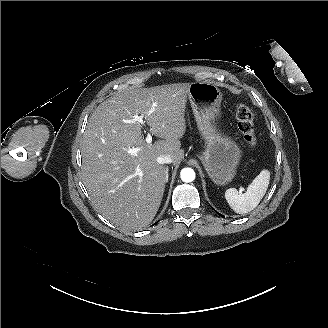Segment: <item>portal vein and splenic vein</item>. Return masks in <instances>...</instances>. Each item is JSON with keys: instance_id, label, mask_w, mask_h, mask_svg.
Wrapping results in <instances>:
<instances>
[{"instance_id": "1", "label": "portal vein and splenic vein", "mask_w": 328, "mask_h": 328, "mask_svg": "<svg viewBox=\"0 0 328 328\" xmlns=\"http://www.w3.org/2000/svg\"><path fill=\"white\" fill-rule=\"evenodd\" d=\"M134 122H139L141 124H144V122H143V116L134 115L133 116V119L129 120V123H134ZM145 140H146V143L147 144H151L152 143V136H151L150 133L147 134V137H146ZM139 150L140 149L138 147H134V148L129 149L128 150V153L131 154V155L136 156L137 153L139 152ZM134 175L135 176L138 175L139 177H143V173H142V171L139 168L136 169ZM242 191L243 190L240 189V192H242Z\"/></svg>"}]
</instances>
